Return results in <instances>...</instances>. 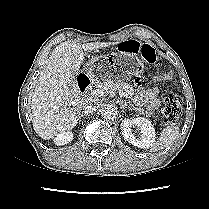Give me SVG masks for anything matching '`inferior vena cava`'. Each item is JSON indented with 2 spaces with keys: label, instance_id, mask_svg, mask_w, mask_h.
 <instances>
[{
  "label": "inferior vena cava",
  "instance_id": "inferior-vena-cava-1",
  "mask_svg": "<svg viewBox=\"0 0 209 209\" xmlns=\"http://www.w3.org/2000/svg\"><path fill=\"white\" fill-rule=\"evenodd\" d=\"M99 108V101L97 99L88 98L83 103L84 113H94Z\"/></svg>",
  "mask_w": 209,
  "mask_h": 209
}]
</instances>
